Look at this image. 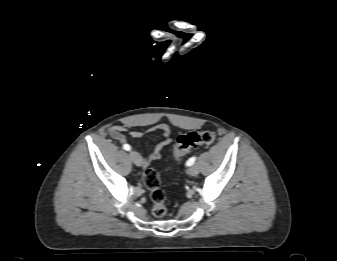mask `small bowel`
Listing matches in <instances>:
<instances>
[{"mask_svg":"<svg viewBox=\"0 0 337 261\" xmlns=\"http://www.w3.org/2000/svg\"><path fill=\"white\" fill-rule=\"evenodd\" d=\"M125 131H127V128L121 125L113 126L109 129V135L119 143H126L127 139L125 136ZM150 131H157L161 134L162 140L158 142L155 147L153 148L152 152L147 155H140L142 160V166L147 167L150 163L157 161L161 157L162 150L168 146L171 141V130L167 124H158L150 129ZM144 132L138 131V130H131L130 136L133 139H140L143 137Z\"/></svg>","mask_w":337,"mask_h":261,"instance_id":"small-bowel-1","label":"small bowel"}]
</instances>
